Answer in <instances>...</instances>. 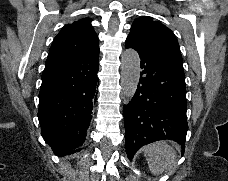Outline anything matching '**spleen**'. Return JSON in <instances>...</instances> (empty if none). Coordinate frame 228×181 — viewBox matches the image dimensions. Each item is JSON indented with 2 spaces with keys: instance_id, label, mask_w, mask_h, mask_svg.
I'll list each match as a JSON object with an SVG mask.
<instances>
[{
  "instance_id": "spleen-1",
  "label": "spleen",
  "mask_w": 228,
  "mask_h": 181,
  "mask_svg": "<svg viewBox=\"0 0 228 181\" xmlns=\"http://www.w3.org/2000/svg\"><path fill=\"white\" fill-rule=\"evenodd\" d=\"M148 167L153 175H174L177 167L176 153L165 141H157L143 147Z\"/></svg>"
}]
</instances>
